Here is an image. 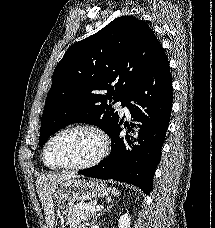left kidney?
Listing matches in <instances>:
<instances>
[{"label": "left kidney", "instance_id": "5707ae66", "mask_svg": "<svg viewBox=\"0 0 215 228\" xmlns=\"http://www.w3.org/2000/svg\"><path fill=\"white\" fill-rule=\"evenodd\" d=\"M119 224V228H130L131 226V218L127 212V214H123V216H121L120 220H118Z\"/></svg>", "mask_w": 215, "mask_h": 228}]
</instances>
